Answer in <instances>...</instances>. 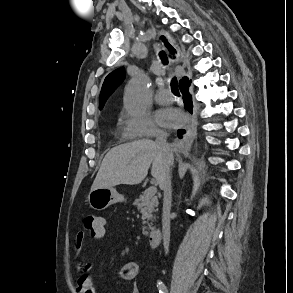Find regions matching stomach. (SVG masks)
Returning <instances> with one entry per match:
<instances>
[{
    "instance_id": "1",
    "label": "stomach",
    "mask_w": 293,
    "mask_h": 293,
    "mask_svg": "<svg viewBox=\"0 0 293 293\" xmlns=\"http://www.w3.org/2000/svg\"><path fill=\"white\" fill-rule=\"evenodd\" d=\"M124 196L119 194L114 188H97L91 190L88 195V202L95 210H104L112 204L123 202Z\"/></svg>"
}]
</instances>
